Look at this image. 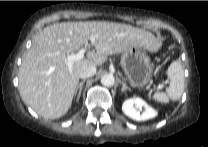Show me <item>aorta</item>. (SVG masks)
<instances>
[{
	"label": "aorta",
	"instance_id": "obj_1",
	"mask_svg": "<svg viewBox=\"0 0 208 147\" xmlns=\"http://www.w3.org/2000/svg\"><path fill=\"white\" fill-rule=\"evenodd\" d=\"M101 83L104 86L111 87L115 84V79L113 75L107 74V75L102 76Z\"/></svg>",
	"mask_w": 208,
	"mask_h": 147
}]
</instances>
